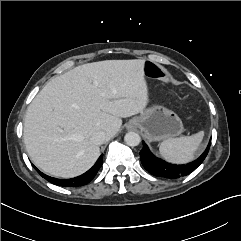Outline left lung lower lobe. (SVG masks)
<instances>
[{
	"label": "left lung lower lobe",
	"mask_w": 241,
	"mask_h": 241,
	"mask_svg": "<svg viewBox=\"0 0 241 241\" xmlns=\"http://www.w3.org/2000/svg\"><path fill=\"white\" fill-rule=\"evenodd\" d=\"M143 143V148L140 151L141 163L144 168L150 173L158 177H165L169 179H176L182 176H186L193 172L206 158L211 140L204 151V153L195 161L185 164V165H176L170 164L166 161H163L157 157H155L147 147V145Z\"/></svg>",
	"instance_id": "left-lung-lower-lobe-1"
}]
</instances>
